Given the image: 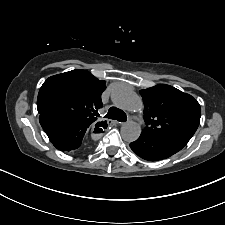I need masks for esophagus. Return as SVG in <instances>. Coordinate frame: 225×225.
Listing matches in <instances>:
<instances>
[{
    "label": "esophagus",
    "instance_id": "obj_1",
    "mask_svg": "<svg viewBox=\"0 0 225 225\" xmlns=\"http://www.w3.org/2000/svg\"><path fill=\"white\" fill-rule=\"evenodd\" d=\"M111 124H113V125H119V124H121V122H118V121H111Z\"/></svg>",
    "mask_w": 225,
    "mask_h": 225
}]
</instances>
